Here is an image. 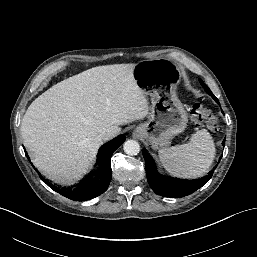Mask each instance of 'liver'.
<instances>
[{"mask_svg":"<svg viewBox=\"0 0 257 257\" xmlns=\"http://www.w3.org/2000/svg\"><path fill=\"white\" fill-rule=\"evenodd\" d=\"M135 64L98 66L49 88L28 107L21 135L44 176L71 184L93 163L106 130L145 118L148 100L133 76Z\"/></svg>","mask_w":257,"mask_h":257,"instance_id":"6515ba94","label":"liver"}]
</instances>
